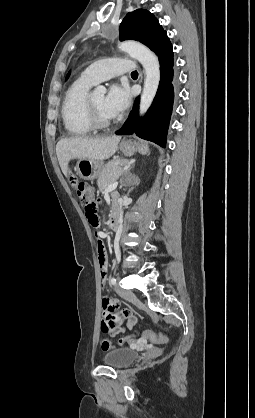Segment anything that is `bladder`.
Instances as JSON below:
<instances>
[{
  "instance_id": "1",
  "label": "bladder",
  "mask_w": 255,
  "mask_h": 418,
  "mask_svg": "<svg viewBox=\"0 0 255 418\" xmlns=\"http://www.w3.org/2000/svg\"><path fill=\"white\" fill-rule=\"evenodd\" d=\"M139 354L131 348H116L109 350L103 356V363L114 368H124L132 364Z\"/></svg>"
}]
</instances>
